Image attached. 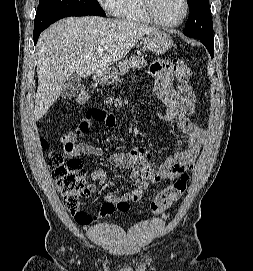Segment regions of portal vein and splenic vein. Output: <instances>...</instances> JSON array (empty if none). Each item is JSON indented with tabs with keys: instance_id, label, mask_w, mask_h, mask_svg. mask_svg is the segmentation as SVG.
<instances>
[{
	"instance_id": "1",
	"label": "portal vein and splenic vein",
	"mask_w": 253,
	"mask_h": 271,
	"mask_svg": "<svg viewBox=\"0 0 253 271\" xmlns=\"http://www.w3.org/2000/svg\"><path fill=\"white\" fill-rule=\"evenodd\" d=\"M103 51H104L103 48H99V49H98V52H99V53H102Z\"/></svg>"
}]
</instances>
